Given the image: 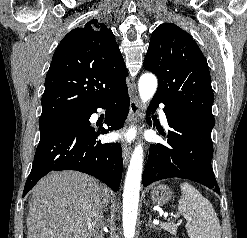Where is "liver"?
Returning a JSON list of instances; mask_svg holds the SVG:
<instances>
[{"label": "liver", "mask_w": 247, "mask_h": 238, "mask_svg": "<svg viewBox=\"0 0 247 238\" xmlns=\"http://www.w3.org/2000/svg\"><path fill=\"white\" fill-rule=\"evenodd\" d=\"M105 186L76 171L51 172L34 187L27 216V238H89L86 216L89 204Z\"/></svg>", "instance_id": "1"}]
</instances>
